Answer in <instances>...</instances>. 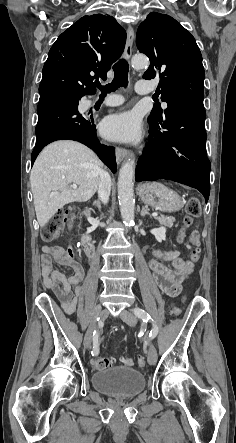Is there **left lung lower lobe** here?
I'll return each instance as SVG.
<instances>
[{
  "mask_svg": "<svg viewBox=\"0 0 236 443\" xmlns=\"http://www.w3.org/2000/svg\"><path fill=\"white\" fill-rule=\"evenodd\" d=\"M203 101L183 100L166 109L161 121L148 117L149 143L138 160L135 180H173L210 193Z\"/></svg>",
  "mask_w": 236,
  "mask_h": 443,
  "instance_id": "obj_1",
  "label": "left lung lower lobe"
}]
</instances>
